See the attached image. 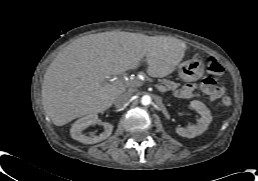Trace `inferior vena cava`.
Returning <instances> with one entry per match:
<instances>
[{
  "label": "inferior vena cava",
  "mask_w": 258,
  "mask_h": 181,
  "mask_svg": "<svg viewBox=\"0 0 258 181\" xmlns=\"http://www.w3.org/2000/svg\"><path fill=\"white\" fill-rule=\"evenodd\" d=\"M131 97L132 94L129 92L122 93L115 99L114 104L117 108H122L130 101Z\"/></svg>",
  "instance_id": "inferior-vena-cava-1"
}]
</instances>
